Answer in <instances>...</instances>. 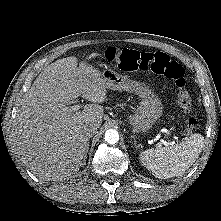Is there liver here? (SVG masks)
<instances>
[{
    "mask_svg": "<svg viewBox=\"0 0 221 221\" xmlns=\"http://www.w3.org/2000/svg\"><path fill=\"white\" fill-rule=\"evenodd\" d=\"M91 54L88 59L97 56ZM74 56L58 59L41 71L24 96L12 134L13 150L41 180L61 181L85 164L87 128L101 126L107 87L101 72ZM92 104L71 111L79 96Z\"/></svg>",
    "mask_w": 221,
    "mask_h": 221,
    "instance_id": "liver-1",
    "label": "liver"
}]
</instances>
